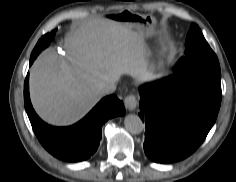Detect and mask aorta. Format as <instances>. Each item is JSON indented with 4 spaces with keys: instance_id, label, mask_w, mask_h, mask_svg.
<instances>
[{
    "instance_id": "1",
    "label": "aorta",
    "mask_w": 236,
    "mask_h": 182,
    "mask_svg": "<svg viewBox=\"0 0 236 182\" xmlns=\"http://www.w3.org/2000/svg\"><path fill=\"white\" fill-rule=\"evenodd\" d=\"M124 125L127 131L132 134H140L144 130V124L136 114H129L124 119Z\"/></svg>"
}]
</instances>
